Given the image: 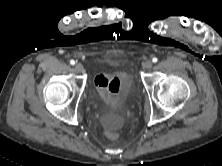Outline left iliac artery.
<instances>
[{
	"instance_id": "1",
	"label": "left iliac artery",
	"mask_w": 222,
	"mask_h": 166,
	"mask_svg": "<svg viewBox=\"0 0 222 166\" xmlns=\"http://www.w3.org/2000/svg\"><path fill=\"white\" fill-rule=\"evenodd\" d=\"M152 61H153L154 63H156V62L158 61V59H157L156 57H154V58L152 59Z\"/></svg>"
}]
</instances>
